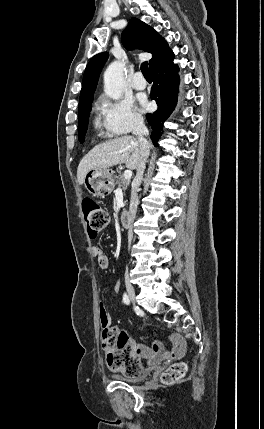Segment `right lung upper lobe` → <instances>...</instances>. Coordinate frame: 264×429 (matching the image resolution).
<instances>
[{"mask_svg":"<svg viewBox=\"0 0 264 429\" xmlns=\"http://www.w3.org/2000/svg\"><path fill=\"white\" fill-rule=\"evenodd\" d=\"M122 43L127 49L138 47L152 54L149 60V70L169 51L167 42L152 27L137 18H131L121 36ZM108 58V53L95 55L88 63L82 82L79 106L93 101L101 69Z\"/></svg>","mask_w":264,"mask_h":429,"instance_id":"obj_1","label":"right lung upper lobe"}]
</instances>
